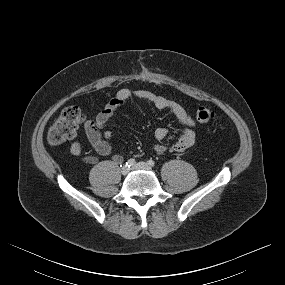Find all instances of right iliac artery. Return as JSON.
I'll return each mask as SVG.
<instances>
[{
	"label": "right iliac artery",
	"instance_id": "obj_1",
	"mask_svg": "<svg viewBox=\"0 0 285 285\" xmlns=\"http://www.w3.org/2000/svg\"><path fill=\"white\" fill-rule=\"evenodd\" d=\"M136 163L135 159H129L127 162H126V166L128 168L132 167L134 164Z\"/></svg>",
	"mask_w": 285,
	"mask_h": 285
}]
</instances>
